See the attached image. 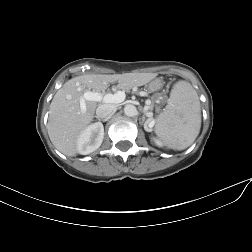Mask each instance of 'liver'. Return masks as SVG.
<instances>
[{
	"mask_svg": "<svg viewBox=\"0 0 252 252\" xmlns=\"http://www.w3.org/2000/svg\"><path fill=\"white\" fill-rule=\"evenodd\" d=\"M155 77L152 73L86 74L74 77L56 92L50 104L47 123L48 135L53 145L67 156H76L77 140L93 121L96 101H85L86 110L81 112L80 100L87 90L104 91L109 83L129 90L147 84Z\"/></svg>",
	"mask_w": 252,
	"mask_h": 252,
	"instance_id": "1",
	"label": "liver"
}]
</instances>
